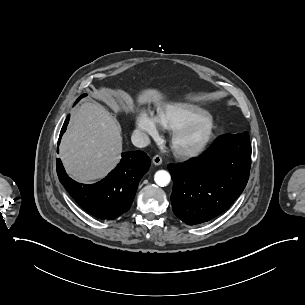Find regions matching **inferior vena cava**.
Masks as SVG:
<instances>
[{
  "mask_svg": "<svg viewBox=\"0 0 305 305\" xmlns=\"http://www.w3.org/2000/svg\"><path fill=\"white\" fill-rule=\"evenodd\" d=\"M131 142L134 146L143 148L150 144V139L146 133L135 130L131 136Z\"/></svg>",
  "mask_w": 305,
  "mask_h": 305,
  "instance_id": "1",
  "label": "inferior vena cava"
}]
</instances>
